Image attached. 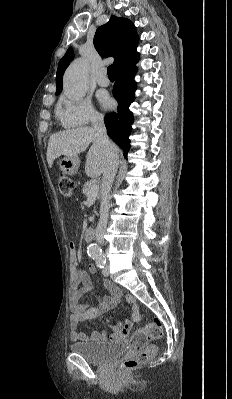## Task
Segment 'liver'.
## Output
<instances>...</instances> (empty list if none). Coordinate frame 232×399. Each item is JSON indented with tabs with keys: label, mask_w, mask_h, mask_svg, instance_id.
Here are the masks:
<instances>
[{
	"label": "liver",
	"mask_w": 232,
	"mask_h": 399,
	"mask_svg": "<svg viewBox=\"0 0 232 399\" xmlns=\"http://www.w3.org/2000/svg\"><path fill=\"white\" fill-rule=\"evenodd\" d=\"M89 144H92L87 156L85 164V172L88 178H98L104 174L107 166L106 148L100 144L95 130L90 126L84 128H75V130H63L56 132L50 136L47 148V162L49 168H52L54 160L59 156H78L81 152H85ZM113 150L118 154L119 150L113 144Z\"/></svg>",
	"instance_id": "liver-1"
}]
</instances>
